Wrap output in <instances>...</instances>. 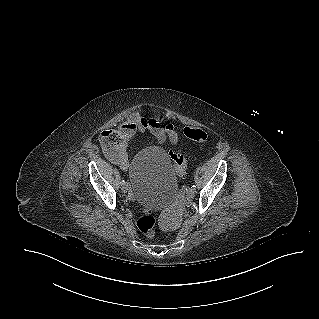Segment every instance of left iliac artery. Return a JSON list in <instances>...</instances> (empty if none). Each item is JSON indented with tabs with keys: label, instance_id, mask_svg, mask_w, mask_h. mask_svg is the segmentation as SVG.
<instances>
[{
	"label": "left iliac artery",
	"instance_id": "44dca946",
	"mask_svg": "<svg viewBox=\"0 0 319 319\" xmlns=\"http://www.w3.org/2000/svg\"><path fill=\"white\" fill-rule=\"evenodd\" d=\"M191 189L196 190V186H195V185H192V186H191Z\"/></svg>",
	"mask_w": 319,
	"mask_h": 319
}]
</instances>
